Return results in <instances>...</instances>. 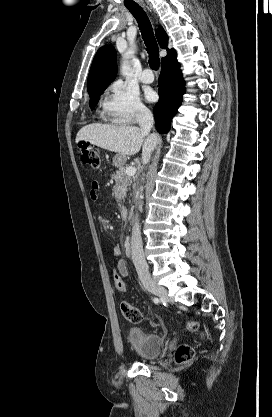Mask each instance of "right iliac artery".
<instances>
[{"instance_id":"right-iliac-artery-1","label":"right iliac artery","mask_w":272,"mask_h":417,"mask_svg":"<svg viewBox=\"0 0 272 417\" xmlns=\"http://www.w3.org/2000/svg\"><path fill=\"white\" fill-rule=\"evenodd\" d=\"M152 300H153L154 303H158L159 302V299L157 297L152 298Z\"/></svg>"}]
</instances>
